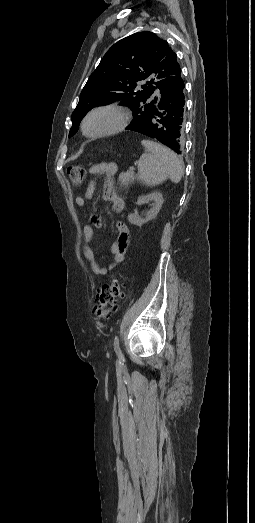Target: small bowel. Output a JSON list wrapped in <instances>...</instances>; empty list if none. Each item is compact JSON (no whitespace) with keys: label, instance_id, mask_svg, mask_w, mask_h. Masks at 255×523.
Wrapping results in <instances>:
<instances>
[{"label":"small bowel","instance_id":"c3829d8e","mask_svg":"<svg viewBox=\"0 0 255 523\" xmlns=\"http://www.w3.org/2000/svg\"><path fill=\"white\" fill-rule=\"evenodd\" d=\"M106 168L113 174L115 172V166L113 165H107ZM91 174H96L98 172V168L94 167L91 169ZM95 193V186L93 183H91L86 192L84 197H77L75 199V203L78 207H83L85 205L86 200L92 199ZM105 198L111 202L112 209L119 213L123 211L124 209V201L115 193L114 191V185L112 179L108 180L105 192H104ZM90 223L91 225L101 228L103 226L102 219L98 215H91L90 217ZM90 224H85L82 229L83 234V254L84 257L88 260L90 264L91 271L96 276H104L108 274L109 272L113 271L118 265H120L124 261V256L129 244L130 239V233L128 230V227L126 224L122 222L117 223V231L118 236L117 239L113 242L111 246V253L113 255V263L109 265V267H102L96 260L94 251L91 247V242L94 236L93 228Z\"/></svg>","mask_w":255,"mask_h":523}]
</instances>
